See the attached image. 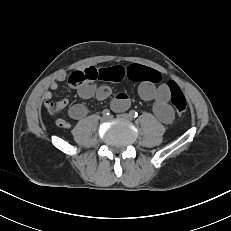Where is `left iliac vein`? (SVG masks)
Masks as SVG:
<instances>
[{
	"instance_id": "4c4485c4",
	"label": "left iliac vein",
	"mask_w": 231,
	"mask_h": 231,
	"mask_svg": "<svg viewBox=\"0 0 231 231\" xmlns=\"http://www.w3.org/2000/svg\"><path fill=\"white\" fill-rule=\"evenodd\" d=\"M118 117L121 118V119H124L126 121H131L132 120V117L130 116V114H126V113L125 114H119Z\"/></svg>"
}]
</instances>
